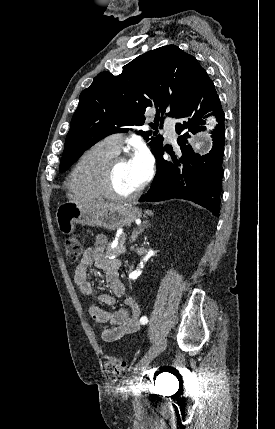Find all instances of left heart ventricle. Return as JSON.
<instances>
[{
    "mask_svg": "<svg viewBox=\"0 0 275 429\" xmlns=\"http://www.w3.org/2000/svg\"><path fill=\"white\" fill-rule=\"evenodd\" d=\"M114 188L122 195L135 192L141 185L138 183L130 160L119 163L114 171Z\"/></svg>",
    "mask_w": 275,
    "mask_h": 429,
    "instance_id": "left-heart-ventricle-1",
    "label": "left heart ventricle"
}]
</instances>
